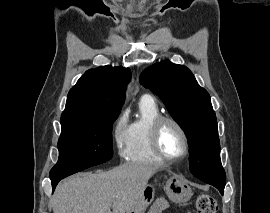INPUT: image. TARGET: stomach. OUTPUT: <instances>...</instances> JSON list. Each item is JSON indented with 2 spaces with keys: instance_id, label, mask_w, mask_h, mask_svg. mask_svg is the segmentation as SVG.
I'll return each mask as SVG.
<instances>
[{
  "instance_id": "obj_1",
  "label": "stomach",
  "mask_w": 270,
  "mask_h": 213,
  "mask_svg": "<svg viewBox=\"0 0 270 213\" xmlns=\"http://www.w3.org/2000/svg\"><path fill=\"white\" fill-rule=\"evenodd\" d=\"M163 190L168 198L176 203L187 202L192 196V190L187 182L165 170H160L158 175ZM154 199L153 189L147 187L143 194L136 200L126 213H145L147 207Z\"/></svg>"
}]
</instances>
